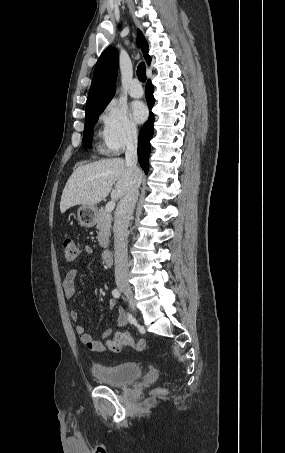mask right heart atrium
<instances>
[{"label": "right heart atrium", "mask_w": 285, "mask_h": 453, "mask_svg": "<svg viewBox=\"0 0 285 453\" xmlns=\"http://www.w3.org/2000/svg\"><path fill=\"white\" fill-rule=\"evenodd\" d=\"M103 123L102 138L108 154L118 155L138 137L136 124L131 120L125 108L112 102L101 116Z\"/></svg>", "instance_id": "1"}]
</instances>
